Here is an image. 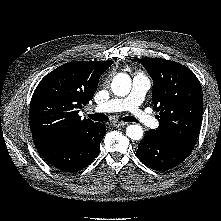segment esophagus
Instances as JSON below:
<instances>
[{
    "label": "esophagus",
    "mask_w": 221,
    "mask_h": 221,
    "mask_svg": "<svg viewBox=\"0 0 221 221\" xmlns=\"http://www.w3.org/2000/svg\"><path fill=\"white\" fill-rule=\"evenodd\" d=\"M112 125L115 126V127H123V126H126L127 123L115 120V121L112 122Z\"/></svg>",
    "instance_id": "esophagus-1"
}]
</instances>
